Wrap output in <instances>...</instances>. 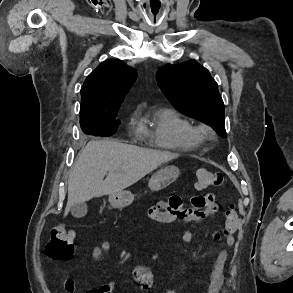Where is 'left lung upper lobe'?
Returning a JSON list of instances; mask_svg holds the SVG:
<instances>
[{
    "mask_svg": "<svg viewBox=\"0 0 293 293\" xmlns=\"http://www.w3.org/2000/svg\"><path fill=\"white\" fill-rule=\"evenodd\" d=\"M157 83L181 113L198 119L226 137L224 103L209 71L195 60L167 64L156 74Z\"/></svg>",
    "mask_w": 293,
    "mask_h": 293,
    "instance_id": "5c2ea615",
    "label": "left lung upper lobe"
}]
</instances>
